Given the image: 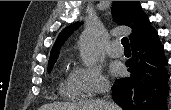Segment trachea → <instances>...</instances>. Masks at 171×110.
I'll list each match as a JSON object with an SVG mask.
<instances>
[{
  "label": "trachea",
  "instance_id": "obj_1",
  "mask_svg": "<svg viewBox=\"0 0 171 110\" xmlns=\"http://www.w3.org/2000/svg\"><path fill=\"white\" fill-rule=\"evenodd\" d=\"M121 44L123 45L124 49H130V44L127 37L122 38Z\"/></svg>",
  "mask_w": 171,
  "mask_h": 110
}]
</instances>
